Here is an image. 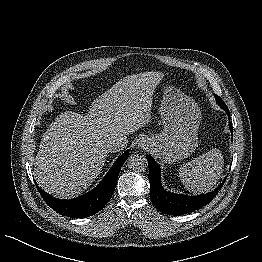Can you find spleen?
I'll list each match as a JSON object with an SVG mask.
<instances>
[{
	"instance_id": "spleen-1",
	"label": "spleen",
	"mask_w": 262,
	"mask_h": 262,
	"mask_svg": "<svg viewBox=\"0 0 262 262\" xmlns=\"http://www.w3.org/2000/svg\"><path fill=\"white\" fill-rule=\"evenodd\" d=\"M223 156L212 149L179 168V177L186 189L197 193L216 185L223 170Z\"/></svg>"
}]
</instances>
